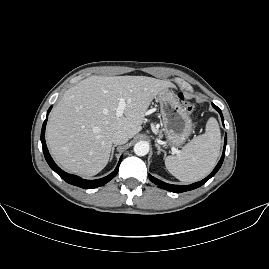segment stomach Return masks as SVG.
Segmentation results:
<instances>
[{
  "mask_svg": "<svg viewBox=\"0 0 269 269\" xmlns=\"http://www.w3.org/2000/svg\"><path fill=\"white\" fill-rule=\"evenodd\" d=\"M162 114V126L166 145L171 148L182 147L192 132V117L169 90L156 96Z\"/></svg>",
  "mask_w": 269,
  "mask_h": 269,
  "instance_id": "0dacf381",
  "label": "stomach"
}]
</instances>
